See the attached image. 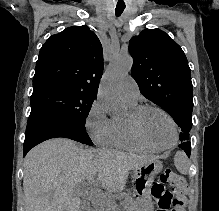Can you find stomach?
<instances>
[{
	"instance_id": "1",
	"label": "stomach",
	"mask_w": 219,
	"mask_h": 211,
	"mask_svg": "<svg viewBox=\"0 0 219 211\" xmlns=\"http://www.w3.org/2000/svg\"><path fill=\"white\" fill-rule=\"evenodd\" d=\"M162 167L161 161L155 159L134 169L133 183L138 211L151 210L148 189L154 181L155 176L162 170Z\"/></svg>"
}]
</instances>
